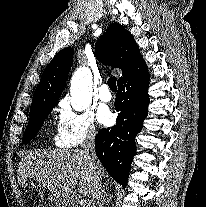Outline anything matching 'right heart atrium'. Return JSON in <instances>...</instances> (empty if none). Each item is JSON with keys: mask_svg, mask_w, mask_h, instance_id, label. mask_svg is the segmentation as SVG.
I'll use <instances>...</instances> for the list:
<instances>
[{"mask_svg": "<svg viewBox=\"0 0 206 207\" xmlns=\"http://www.w3.org/2000/svg\"><path fill=\"white\" fill-rule=\"evenodd\" d=\"M56 144L73 148L92 143L97 136L94 117L89 111L74 110L69 102L58 106Z\"/></svg>", "mask_w": 206, "mask_h": 207, "instance_id": "obj_1", "label": "right heart atrium"}]
</instances>
